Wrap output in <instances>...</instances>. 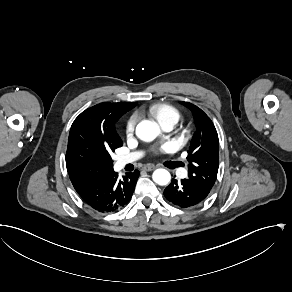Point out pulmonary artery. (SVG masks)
Masks as SVG:
<instances>
[{
	"label": "pulmonary artery",
	"mask_w": 292,
	"mask_h": 292,
	"mask_svg": "<svg viewBox=\"0 0 292 292\" xmlns=\"http://www.w3.org/2000/svg\"><path fill=\"white\" fill-rule=\"evenodd\" d=\"M160 125H161V128L164 131L169 132V131H171L175 127L176 122L174 120H167V121L162 122ZM139 156H140V153L139 152H134L132 154L122 155V156H120L118 158L117 165L120 166V167H122L125 164L130 163V162L136 160ZM186 174L187 173L184 172L182 174V176H186Z\"/></svg>",
	"instance_id": "1"
}]
</instances>
